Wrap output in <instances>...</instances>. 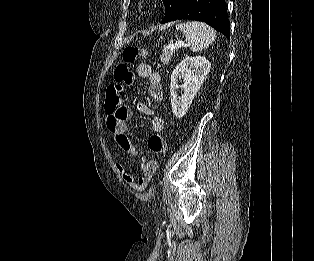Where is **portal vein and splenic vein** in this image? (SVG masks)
Listing matches in <instances>:
<instances>
[{
	"label": "portal vein and splenic vein",
	"mask_w": 314,
	"mask_h": 261,
	"mask_svg": "<svg viewBox=\"0 0 314 261\" xmlns=\"http://www.w3.org/2000/svg\"><path fill=\"white\" fill-rule=\"evenodd\" d=\"M182 46H187V44L181 42V41H178V42H175V43H171L170 45H168V48L169 49H176V48H179V47H182Z\"/></svg>",
	"instance_id": "1"
}]
</instances>
